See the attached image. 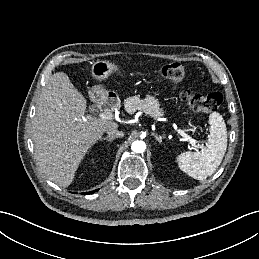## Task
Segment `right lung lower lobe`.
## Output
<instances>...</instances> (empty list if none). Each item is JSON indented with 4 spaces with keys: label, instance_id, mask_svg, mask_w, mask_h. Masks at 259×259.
<instances>
[{
    "label": "right lung lower lobe",
    "instance_id": "right-lung-lower-lobe-1",
    "mask_svg": "<svg viewBox=\"0 0 259 259\" xmlns=\"http://www.w3.org/2000/svg\"><path fill=\"white\" fill-rule=\"evenodd\" d=\"M95 191H97V190H94V191H91V192H87V193H83V194H87V195H88V194H90V193H91V194L94 193Z\"/></svg>",
    "mask_w": 259,
    "mask_h": 259
}]
</instances>
